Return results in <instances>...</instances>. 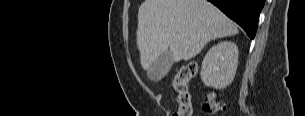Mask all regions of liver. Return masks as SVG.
<instances>
[{
  "label": "liver",
  "instance_id": "liver-1",
  "mask_svg": "<svg viewBox=\"0 0 305 116\" xmlns=\"http://www.w3.org/2000/svg\"><path fill=\"white\" fill-rule=\"evenodd\" d=\"M237 25L207 0H145L138 11L142 68L168 49L174 62L190 60L211 40L238 34Z\"/></svg>",
  "mask_w": 305,
  "mask_h": 116
}]
</instances>
